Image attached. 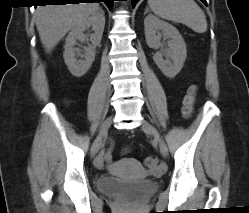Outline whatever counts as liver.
<instances>
[{"label":"liver","instance_id":"obj_1","mask_svg":"<svg viewBox=\"0 0 249 213\" xmlns=\"http://www.w3.org/2000/svg\"><path fill=\"white\" fill-rule=\"evenodd\" d=\"M98 10L97 2L37 6L35 22L46 52H51L69 30Z\"/></svg>","mask_w":249,"mask_h":213}]
</instances>
